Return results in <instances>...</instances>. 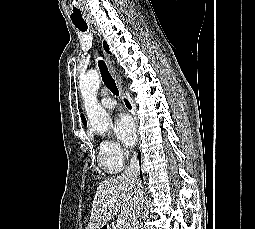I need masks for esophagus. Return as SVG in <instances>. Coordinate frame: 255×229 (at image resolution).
I'll use <instances>...</instances> for the list:
<instances>
[{"instance_id":"34e87169","label":"esophagus","mask_w":255,"mask_h":229,"mask_svg":"<svg viewBox=\"0 0 255 229\" xmlns=\"http://www.w3.org/2000/svg\"><path fill=\"white\" fill-rule=\"evenodd\" d=\"M98 36H99V34H98ZM104 55H105V61H106V64L108 66L109 72H110V74L112 75L113 79L116 82V85H117V88H118V90L120 92V95L124 99L125 98L124 91H123L121 82L119 81V79L116 76V72H115L112 60H111L110 56L107 53H104ZM132 115H133L134 119L136 120V116H135L134 111H132Z\"/></svg>"}]
</instances>
